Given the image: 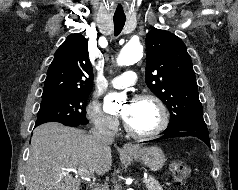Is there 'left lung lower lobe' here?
<instances>
[{
    "mask_svg": "<svg viewBox=\"0 0 238 190\" xmlns=\"http://www.w3.org/2000/svg\"><path fill=\"white\" fill-rule=\"evenodd\" d=\"M163 136L154 141L167 139L177 136H196L210 146L207 126L204 121L184 122L175 126L168 127L162 132Z\"/></svg>",
    "mask_w": 238,
    "mask_h": 190,
    "instance_id": "obj_1",
    "label": "left lung lower lobe"
}]
</instances>
